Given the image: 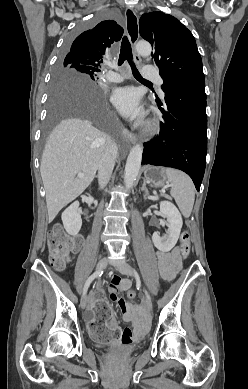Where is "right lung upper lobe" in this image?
<instances>
[{"instance_id":"obj_1","label":"right lung upper lobe","mask_w":248,"mask_h":389,"mask_svg":"<svg viewBox=\"0 0 248 389\" xmlns=\"http://www.w3.org/2000/svg\"><path fill=\"white\" fill-rule=\"evenodd\" d=\"M122 34L123 28L114 20L102 21L74 40L63 63L99 72L107 48L119 41Z\"/></svg>"}]
</instances>
